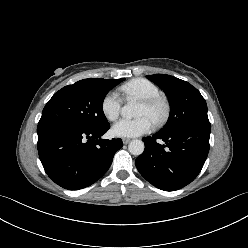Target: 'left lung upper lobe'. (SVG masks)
Returning a JSON list of instances; mask_svg holds the SVG:
<instances>
[{
  "label": "left lung upper lobe",
  "instance_id": "5c2ea615",
  "mask_svg": "<svg viewBox=\"0 0 248 248\" xmlns=\"http://www.w3.org/2000/svg\"><path fill=\"white\" fill-rule=\"evenodd\" d=\"M146 77L164 90L170 103L169 119L159 133L169 134L187 125L209 122L205 99L190 83L166 74Z\"/></svg>",
  "mask_w": 248,
  "mask_h": 248
}]
</instances>
